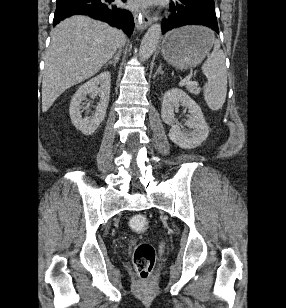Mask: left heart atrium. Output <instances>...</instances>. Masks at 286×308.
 Listing matches in <instances>:
<instances>
[{
	"instance_id": "39dd6f15",
	"label": "left heart atrium",
	"mask_w": 286,
	"mask_h": 308,
	"mask_svg": "<svg viewBox=\"0 0 286 308\" xmlns=\"http://www.w3.org/2000/svg\"><path fill=\"white\" fill-rule=\"evenodd\" d=\"M147 0H133L134 4L136 5L137 3L141 2V3H144L146 2Z\"/></svg>"
}]
</instances>
